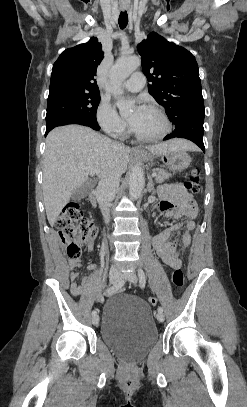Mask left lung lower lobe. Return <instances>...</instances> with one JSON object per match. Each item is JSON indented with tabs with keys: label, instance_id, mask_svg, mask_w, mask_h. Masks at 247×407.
I'll use <instances>...</instances> for the list:
<instances>
[{
	"label": "left lung lower lobe",
	"instance_id": "obj_1",
	"mask_svg": "<svg viewBox=\"0 0 247 407\" xmlns=\"http://www.w3.org/2000/svg\"><path fill=\"white\" fill-rule=\"evenodd\" d=\"M204 115L191 114L188 115L177 123H175V130L170 135L166 136L164 140L171 138H185L191 140L196 145H198L203 152H205V147L203 143L204 134Z\"/></svg>",
	"mask_w": 247,
	"mask_h": 407
}]
</instances>
